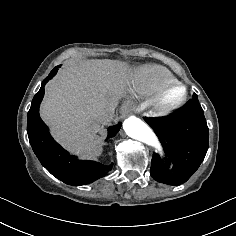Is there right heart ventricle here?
I'll return each mask as SVG.
<instances>
[{"label": "right heart ventricle", "mask_w": 236, "mask_h": 236, "mask_svg": "<svg viewBox=\"0 0 236 236\" xmlns=\"http://www.w3.org/2000/svg\"><path fill=\"white\" fill-rule=\"evenodd\" d=\"M141 82L132 92L136 97L154 98L165 85L177 82L174 75L164 67L150 65L140 69Z\"/></svg>", "instance_id": "right-heart-ventricle-1"}]
</instances>
